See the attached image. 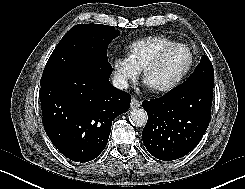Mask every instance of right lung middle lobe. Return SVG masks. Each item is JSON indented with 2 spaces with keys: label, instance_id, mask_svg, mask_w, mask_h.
<instances>
[{
  "label": "right lung middle lobe",
  "instance_id": "1",
  "mask_svg": "<svg viewBox=\"0 0 245 189\" xmlns=\"http://www.w3.org/2000/svg\"><path fill=\"white\" fill-rule=\"evenodd\" d=\"M119 35V30L107 25L78 24L72 27L51 54L40 85L57 80L86 60H108V45Z\"/></svg>",
  "mask_w": 245,
  "mask_h": 189
}]
</instances>
